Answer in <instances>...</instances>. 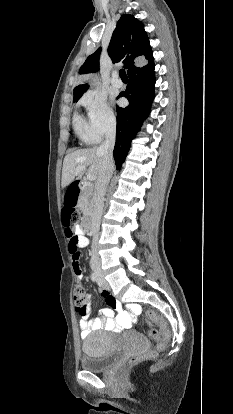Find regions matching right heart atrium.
I'll list each match as a JSON object with an SVG mask.
<instances>
[{
	"instance_id": "d8ad5b80",
	"label": "right heart atrium",
	"mask_w": 233,
	"mask_h": 414,
	"mask_svg": "<svg viewBox=\"0 0 233 414\" xmlns=\"http://www.w3.org/2000/svg\"><path fill=\"white\" fill-rule=\"evenodd\" d=\"M81 104L87 114V142L97 143L115 130L116 115L105 97L90 93L82 98Z\"/></svg>"
}]
</instances>
